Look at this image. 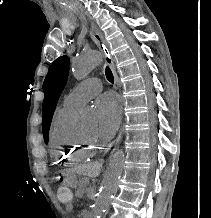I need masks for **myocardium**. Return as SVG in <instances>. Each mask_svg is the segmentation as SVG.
<instances>
[{"instance_id": "1", "label": "myocardium", "mask_w": 211, "mask_h": 218, "mask_svg": "<svg viewBox=\"0 0 211 218\" xmlns=\"http://www.w3.org/2000/svg\"><path fill=\"white\" fill-rule=\"evenodd\" d=\"M80 135H81L83 142L86 145H89V146L94 148V147H99L101 144L96 135L95 136H87L83 131L80 132Z\"/></svg>"}]
</instances>
